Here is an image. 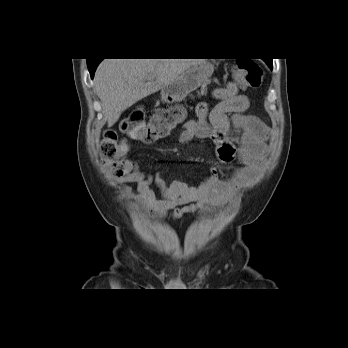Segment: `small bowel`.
I'll list each match as a JSON object with an SVG mask.
<instances>
[{
	"instance_id": "c3829d8e",
	"label": "small bowel",
	"mask_w": 348,
	"mask_h": 348,
	"mask_svg": "<svg viewBox=\"0 0 348 348\" xmlns=\"http://www.w3.org/2000/svg\"><path fill=\"white\" fill-rule=\"evenodd\" d=\"M212 96L218 103L213 108L205 102L199 103L196 117L184 122L179 140L186 144L196 137L210 136L219 161L224 164L237 162L239 167L229 179H222L213 168L195 187H189L181 180L167 183L160 175L141 170L128 156L130 148L126 146L117 158L106 161L104 167L121 185L128 204L138 214L165 218L172 211L175 218H180L187 213H210L233 203L240 190L261 172L267 154L269 128L257 117L245 114L250 105L249 98L238 92L234 82L213 89ZM234 129L242 131L238 148L230 138ZM127 183H135L137 192L134 193ZM153 185L158 188L161 198L152 189Z\"/></svg>"
}]
</instances>
